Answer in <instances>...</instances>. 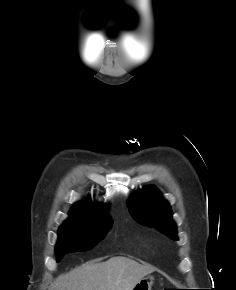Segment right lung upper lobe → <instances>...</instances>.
<instances>
[{"mask_svg":"<svg viewBox=\"0 0 236 290\" xmlns=\"http://www.w3.org/2000/svg\"><path fill=\"white\" fill-rule=\"evenodd\" d=\"M107 208L101 204H95L91 201L78 203L72 209L68 221L72 222H87L93 220H109L105 214Z\"/></svg>","mask_w":236,"mask_h":290,"instance_id":"cb5924a9","label":"right lung upper lobe"}]
</instances>
